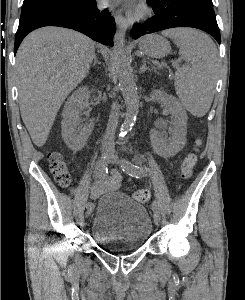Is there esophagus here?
<instances>
[{
    "mask_svg": "<svg viewBox=\"0 0 245 300\" xmlns=\"http://www.w3.org/2000/svg\"><path fill=\"white\" fill-rule=\"evenodd\" d=\"M114 19H115V22L117 25L119 26H123V27H128L129 26V22H127L125 20V18L123 17L122 13L121 12H116L114 13Z\"/></svg>",
    "mask_w": 245,
    "mask_h": 300,
    "instance_id": "1",
    "label": "esophagus"
}]
</instances>
